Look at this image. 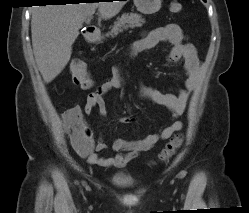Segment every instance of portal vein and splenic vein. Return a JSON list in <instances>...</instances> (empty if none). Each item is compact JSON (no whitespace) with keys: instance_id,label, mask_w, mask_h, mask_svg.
<instances>
[{"instance_id":"portal-vein-and-splenic-vein-1","label":"portal vein and splenic vein","mask_w":249,"mask_h":213,"mask_svg":"<svg viewBox=\"0 0 249 213\" xmlns=\"http://www.w3.org/2000/svg\"><path fill=\"white\" fill-rule=\"evenodd\" d=\"M92 15V14H91ZM91 15L89 16V18L87 19V22H89L90 21V19H91Z\"/></svg>"}]
</instances>
